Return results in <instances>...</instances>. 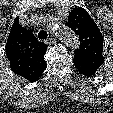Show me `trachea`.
<instances>
[{
	"mask_svg": "<svg viewBox=\"0 0 113 113\" xmlns=\"http://www.w3.org/2000/svg\"><path fill=\"white\" fill-rule=\"evenodd\" d=\"M47 37H48V34H47V32L45 31V30H41L39 33H38V38L39 39H47Z\"/></svg>",
	"mask_w": 113,
	"mask_h": 113,
	"instance_id": "obj_1",
	"label": "trachea"
}]
</instances>
